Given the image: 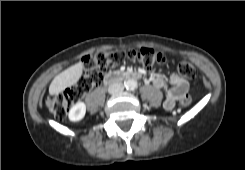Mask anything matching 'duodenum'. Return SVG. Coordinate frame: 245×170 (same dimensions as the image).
Wrapping results in <instances>:
<instances>
[{"label": "duodenum", "mask_w": 245, "mask_h": 170, "mask_svg": "<svg viewBox=\"0 0 245 170\" xmlns=\"http://www.w3.org/2000/svg\"><path fill=\"white\" fill-rule=\"evenodd\" d=\"M140 78H141V74L137 72H111L105 75L104 81L105 83H112L122 79L139 80Z\"/></svg>", "instance_id": "duodenum-1"}]
</instances>
